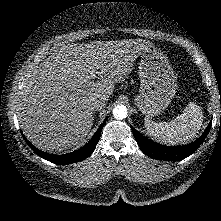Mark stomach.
<instances>
[{
  "label": "stomach",
  "mask_w": 221,
  "mask_h": 221,
  "mask_svg": "<svg viewBox=\"0 0 221 221\" xmlns=\"http://www.w3.org/2000/svg\"><path fill=\"white\" fill-rule=\"evenodd\" d=\"M140 89L134 98L145 115L156 116L171 103L176 94V78L168 59L154 46L141 53Z\"/></svg>",
  "instance_id": "stomach-1"
}]
</instances>
